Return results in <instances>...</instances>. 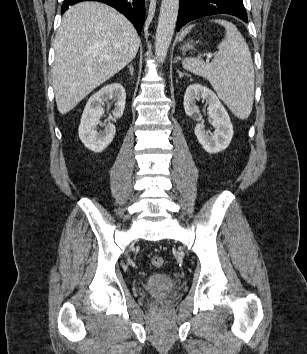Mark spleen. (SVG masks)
<instances>
[{"label": "spleen", "mask_w": 307, "mask_h": 354, "mask_svg": "<svg viewBox=\"0 0 307 354\" xmlns=\"http://www.w3.org/2000/svg\"><path fill=\"white\" fill-rule=\"evenodd\" d=\"M215 22L225 27L226 35L218 45L213 62L201 58H185L183 68L204 77L212 85L219 98L239 119H247L252 111L255 73L251 53L243 36L232 23ZM193 25L182 33L183 38Z\"/></svg>", "instance_id": "1"}]
</instances>
